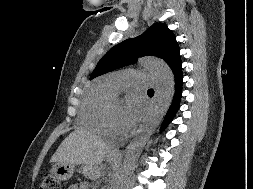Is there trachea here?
I'll list each match as a JSON object with an SVG mask.
<instances>
[{
  "instance_id": "1",
  "label": "trachea",
  "mask_w": 253,
  "mask_h": 189,
  "mask_svg": "<svg viewBox=\"0 0 253 189\" xmlns=\"http://www.w3.org/2000/svg\"><path fill=\"white\" fill-rule=\"evenodd\" d=\"M148 91H150V92H154V90H153V89H149Z\"/></svg>"
}]
</instances>
